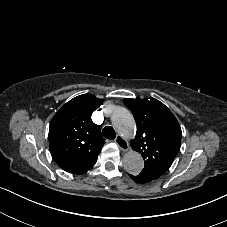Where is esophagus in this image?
<instances>
[{"label":"esophagus","instance_id":"obj_1","mask_svg":"<svg viewBox=\"0 0 227 227\" xmlns=\"http://www.w3.org/2000/svg\"><path fill=\"white\" fill-rule=\"evenodd\" d=\"M115 143L122 151H128L129 150V143L128 141L121 135H117L115 138Z\"/></svg>","mask_w":227,"mask_h":227}]
</instances>
